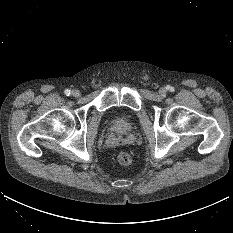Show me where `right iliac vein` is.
<instances>
[{
	"mask_svg": "<svg viewBox=\"0 0 233 233\" xmlns=\"http://www.w3.org/2000/svg\"><path fill=\"white\" fill-rule=\"evenodd\" d=\"M81 95V93H80V91L79 90H77V89H74L73 91H72V96L73 97H79Z\"/></svg>",
	"mask_w": 233,
	"mask_h": 233,
	"instance_id": "63e3f726",
	"label": "right iliac vein"
}]
</instances>
